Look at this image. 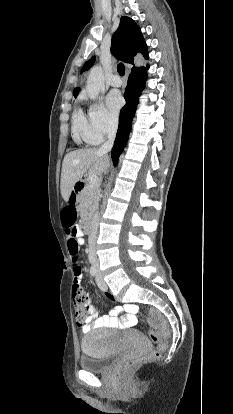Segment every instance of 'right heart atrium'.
I'll return each instance as SVG.
<instances>
[{
  "label": "right heart atrium",
  "instance_id": "d8ad5b80",
  "mask_svg": "<svg viewBox=\"0 0 233 414\" xmlns=\"http://www.w3.org/2000/svg\"><path fill=\"white\" fill-rule=\"evenodd\" d=\"M88 118L91 125L92 140L98 144L105 137L115 132L118 119L101 102H93L89 105Z\"/></svg>",
  "mask_w": 233,
  "mask_h": 414
}]
</instances>
